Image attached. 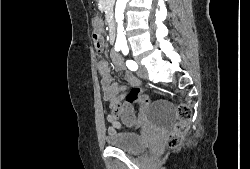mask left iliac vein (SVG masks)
Segmentation results:
<instances>
[{
  "label": "left iliac vein",
  "mask_w": 250,
  "mask_h": 169,
  "mask_svg": "<svg viewBox=\"0 0 250 169\" xmlns=\"http://www.w3.org/2000/svg\"><path fill=\"white\" fill-rule=\"evenodd\" d=\"M137 75L142 79L148 78L147 71H146L145 67L142 65L140 66V69L137 71Z\"/></svg>",
  "instance_id": "1"
}]
</instances>
